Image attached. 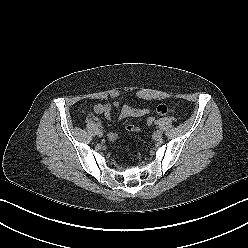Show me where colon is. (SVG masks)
Segmentation results:
<instances>
[{
  "label": "colon",
  "mask_w": 248,
  "mask_h": 248,
  "mask_svg": "<svg viewBox=\"0 0 248 248\" xmlns=\"http://www.w3.org/2000/svg\"><path fill=\"white\" fill-rule=\"evenodd\" d=\"M154 117H152V116H150V117H148L147 119H146V123H147V125L148 126H152L153 125V123H154ZM116 138V135L115 134H111L110 135V139L111 140H113V139H115Z\"/></svg>",
  "instance_id": "5ec220e1"
}]
</instances>
